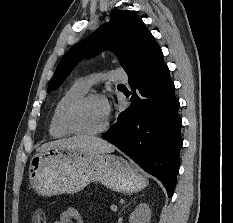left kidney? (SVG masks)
Instances as JSON below:
<instances>
[{"instance_id": "5707ae66", "label": "left kidney", "mask_w": 233, "mask_h": 223, "mask_svg": "<svg viewBox=\"0 0 233 223\" xmlns=\"http://www.w3.org/2000/svg\"><path fill=\"white\" fill-rule=\"evenodd\" d=\"M151 209L149 203H139L132 211L129 221L130 223H150Z\"/></svg>"}]
</instances>
